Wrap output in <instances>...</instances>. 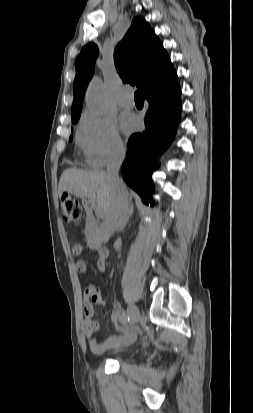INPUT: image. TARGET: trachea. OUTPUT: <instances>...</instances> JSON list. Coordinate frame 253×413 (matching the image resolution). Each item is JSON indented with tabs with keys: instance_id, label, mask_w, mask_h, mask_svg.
Returning a JSON list of instances; mask_svg holds the SVG:
<instances>
[{
	"instance_id": "trachea-1",
	"label": "trachea",
	"mask_w": 253,
	"mask_h": 413,
	"mask_svg": "<svg viewBox=\"0 0 253 413\" xmlns=\"http://www.w3.org/2000/svg\"><path fill=\"white\" fill-rule=\"evenodd\" d=\"M135 99H143L144 98V96H143V91H142V89H139V90H137L136 92H135Z\"/></svg>"
}]
</instances>
